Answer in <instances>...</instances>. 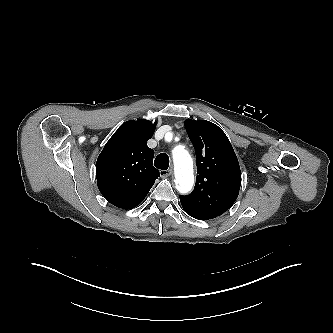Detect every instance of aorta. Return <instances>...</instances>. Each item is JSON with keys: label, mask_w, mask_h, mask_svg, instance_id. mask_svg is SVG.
Here are the masks:
<instances>
[{"label": "aorta", "mask_w": 333, "mask_h": 333, "mask_svg": "<svg viewBox=\"0 0 333 333\" xmlns=\"http://www.w3.org/2000/svg\"><path fill=\"white\" fill-rule=\"evenodd\" d=\"M173 160L177 189L180 193H187L194 183L192 158L183 146H177L173 150Z\"/></svg>", "instance_id": "obj_1"}]
</instances>
